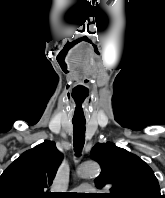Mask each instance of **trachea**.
Returning a JSON list of instances; mask_svg holds the SVG:
<instances>
[{
    "label": "trachea",
    "instance_id": "obj_1",
    "mask_svg": "<svg viewBox=\"0 0 165 198\" xmlns=\"http://www.w3.org/2000/svg\"><path fill=\"white\" fill-rule=\"evenodd\" d=\"M73 145L77 156H80L85 142V122L72 121Z\"/></svg>",
    "mask_w": 165,
    "mask_h": 198
}]
</instances>
